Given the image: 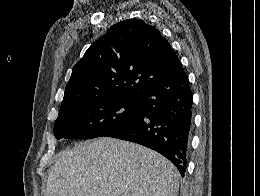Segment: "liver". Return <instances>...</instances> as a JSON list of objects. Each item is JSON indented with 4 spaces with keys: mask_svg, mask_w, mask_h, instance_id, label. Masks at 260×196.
Segmentation results:
<instances>
[{
    "mask_svg": "<svg viewBox=\"0 0 260 196\" xmlns=\"http://www.w3.org/2000/svg\"><path fill=\"white\" fill-rule=\"evenodd\" d=\"M178 176L154 150L99 138L58 154L44 196H177Z\"/></svg>",
    "mask_w": 260,
    "mask_h": 196,
    "instance_id": "1",
    "label": "liver"
}]
</instances>
